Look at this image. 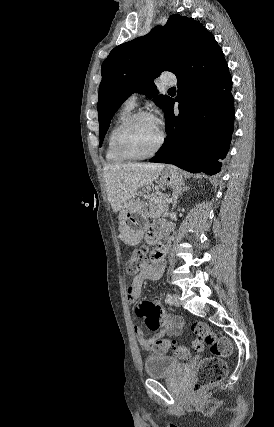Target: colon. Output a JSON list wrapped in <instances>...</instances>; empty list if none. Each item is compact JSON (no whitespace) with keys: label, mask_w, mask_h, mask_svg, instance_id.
Listing matches in <instances>:
<instances>
[{"label":"colon","mask_w":274,"mask_h":427,"mask_svg":"<svg viewBox=\"0 0 274 427\" xmlns=\"http://www.w3.org/2000/svg\"><path fill=\"white\" fill-rule=\"evenodd\" d=\"M148 255V250L145 249L137 250L130 254L126 261L128 274H138L147 263ZM191 331L196 335L195 345L197 349L207 346L212 354V356L201 360L195 379L191 381L192 395H205L206 388L209 385L218 384L227 376V365L222 358L231 355L232 346L227 338L214 333L205 323L192 324ZM155 347L157 356H164L166 352L171 351L180 359L189 357V351L185 346L170 340L157 341Z\"/></svg>","instance_id":"obj_1"}]
</instances>
